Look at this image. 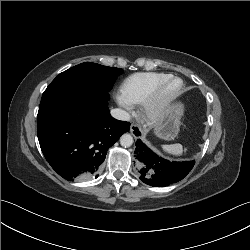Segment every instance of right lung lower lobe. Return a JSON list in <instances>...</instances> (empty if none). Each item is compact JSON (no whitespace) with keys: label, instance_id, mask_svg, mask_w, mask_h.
Wrapping results in <instances>:
<instances>
[{"label":"right lung lower lobe","instance_id":"right-lung-lower-lobe-1","mask_svg":"<svg viewBox=\"0 0 250 250\" xmlns=\"http://www.w3.org/2000/svg\"><path fill=\"white\" fill-rule=\"evenodd\" d=\"M107 92L76 87L39 107L38 139L51 167L68 181L97 177L107 150L129 131L114 119Z\"/></svg>","mask_w":250,"mask_h":250}]
</instances>
